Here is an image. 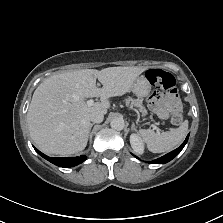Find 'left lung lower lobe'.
I'll list each match as a JSON object with an SVG mask.
<instances>
[{
	"label": "left lung lower lobe",
	"instance_id": "0a47b994",
	"mask_svg": "<svg viewBox=\"0 0 223 223\" xmlns=\"http://www.w3.org/2000/svg\"><path fill=\"white\" fill-rule=\"evenodd\" d=\"M188 138H189V134L188 136L186 137L185 141L181 144V146L175 150H173L172 152L156 159V160H153L151 161V163L153 164H165L169 161H171L173 158H175L180 152L181 150L184 148V146L186 145L187 141H188Z\"/></svg>",
	"mask_w": 223,
	"mask_h": 223
}]
</instances>
